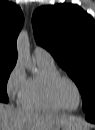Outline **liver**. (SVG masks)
Masks as SVG:
<instances>
[{"mask_svg": "<svg viewBox=\"0 0 95 130\" xmlns=\"http://www.w3.org/2000/svg\"><path fill=\"white\" fill-rule=\"evenodd\" d=\"M75 121L79 120L68 114L0 106V130H60L63 125ZM83 128L89 129L85 124Z\"/></svg>", "mask_w": 95, "mask_h": 130, "instance_id": "liver-1", "label": "liver"}]
</instances>
